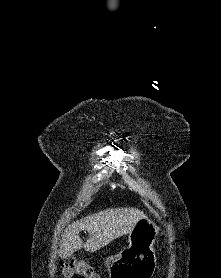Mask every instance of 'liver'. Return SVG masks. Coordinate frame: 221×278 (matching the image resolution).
I'll return each instance as SVG.
<instances>
[{
  "mask_svg": "<svg viewBox=\"0 0 221 278\" xmlns=\"http://www.w3.org/2000/svg\"><path fill=\"white\" fill-rule=\"evenodd\" d=\"M144 217L145 214L135 208H111L77 220L66 228L59 254L65 257L82 248L88 252H95L114 239L129 234ZM83 230L89 234L86 243L79 237V232Z\"/></svg>",
  "mask_w": 221,
  "mask_h": 278,
  "instance_id": "1",
  "label": "liver"
}]
</instances>
